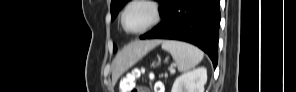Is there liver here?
<instances>
[{"label":"liver","mask_w":296,"mask_h":92,"mask_svg":"<svg viewBox=\"0 0 296 92\" xmlns=\"http://www.w3.org/2000/svg\"><path fill=\"white\" fill-rule=\"evenodd\" d=\"M160 44L159 40L135 41L124 47L114 58L112 63V82L118 78L150 50Z\"/></svg>","instance_id":"1"}]
</instances>
